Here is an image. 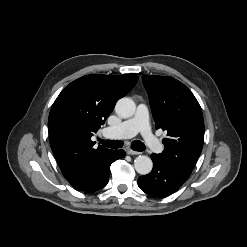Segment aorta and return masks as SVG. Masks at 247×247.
Returning a JSON list of instances; mask_svg holds the SVG:
<instances>
[{
	"instance_id": "762f6f07",
	"label": "aorta",
	"mask_w": 247,
	"mask_h": 247,
	"mask_svg": "<svg viewBox=\"0 0 247 247\" xmlns=\"http://www.w3.org/2000/svg\"><path fill=\"white\" fill-rule=\"evenodd\" d=\"M135 111L136 104L128 97L119 99L115 105V112L121 118H130L135 114ZM134 168L141 175L149 174L153 168L152 160L148 156L139 155L134 160Z\"/></svg>"
}]
</instances>
